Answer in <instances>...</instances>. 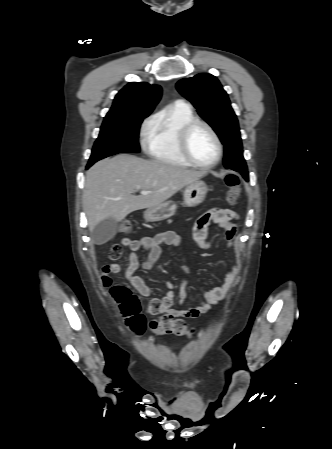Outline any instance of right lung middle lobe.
Masks as SVG:
<instances>
[{
    "label": "right lung middle lobe",
    "instance_id": "obj_1",
    "mask_svg": "<svg viewBox=\"0 0 332 449\" xmlns=\"http://www.w3.org/2000/svg\"><path fill=\"white\" fill-rule=\"evenodd\" d=\"M147 116L104 118L99 136L93 146L87 168L100 159L118 153H139L140 125Z\"/></svg>",
    "mask_w": 332,
    "mask_h": 449
}]
</instances>
